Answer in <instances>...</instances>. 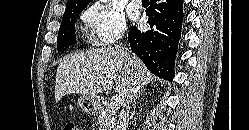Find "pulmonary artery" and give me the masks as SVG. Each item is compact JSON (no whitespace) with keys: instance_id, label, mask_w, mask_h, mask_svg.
<instances>
[{"instance_id":"e3ab8cb5","label":"pulmonary artery","mask_w":249,"mask_h":130,"mask_svg":"<svg viewBox=\"0 0 249 130\" xmlns=\"http://www.w3.org/2000/svg\"><path fill=\"white\" fill-rule=\"evenodd\" d=\"M131 4L135 7H141L142 0H131Z\"/></svg>"}]
</instances>
